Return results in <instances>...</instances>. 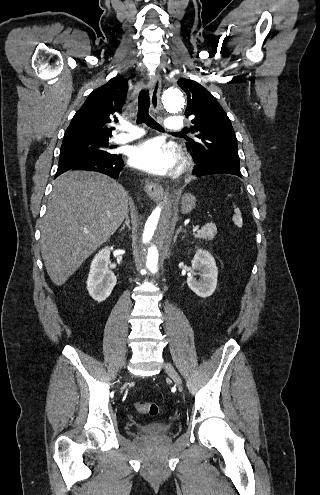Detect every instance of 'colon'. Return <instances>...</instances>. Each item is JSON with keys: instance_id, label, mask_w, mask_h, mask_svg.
Segmentation results:
<instances>
[{"instance_id": "1", "label": "colon", "mask_w": 320, "mask_h": 495, "mask_svg": "<svg viewBox=\"0 0 320 495\" xmlns=\"http://www.w3.org/2000/svg\"><path fill=\"white\" fill-rule=\"evenodd\" d=\"M135 408L140 414L149 416H156L159 412L158 405L154 402H138Z\"/></svg>"}]
</instances>
